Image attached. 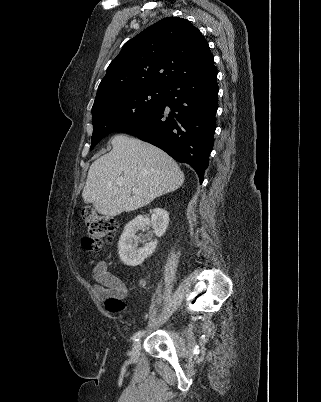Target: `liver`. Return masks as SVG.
<instances>
[{
    "mask_svg": "<svg viewBox=\"0 0 321 402\" xmlns=\"http://www.w3.org/2000/svg\"><path fill=\"white\" fill-rule=\"evenodd\" d=\"M111 152L89 168L82 197L106 217L131 212L184 183L178 164L158 147L128 135L112 138ZM123 179L124 184H116ZM133 189H137L136 192Z\"/></svg>",
    "mask_w": 321,
    "mask_h": 402,
    "instance_id": "6515ba94",
    "label": "liver"
}]
</instances>
